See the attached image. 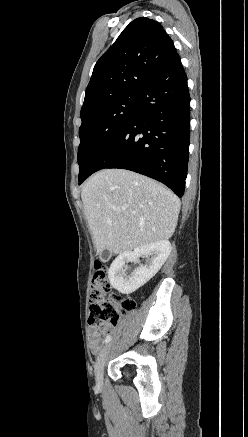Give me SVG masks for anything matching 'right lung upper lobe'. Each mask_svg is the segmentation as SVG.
<instances>
[{
  "mask_svg": "<svg viewBox=\"0 0 248 437\" xmlns=\"http://www.w3.org/2000/svg\"><path fill=\"white\" fill-rule=\"evenodd\" d=\"M177 55L173 41L158 22L135 19L97 61L86 88L81 119L120 97L137 95Z\"/></svg>",
  "mask_w": 248,
  "mask_h": 437,
  "instance_id": "right-lung-upper-lobe-1",
  "label": "right lung upper lobe"
}]
</instances>
